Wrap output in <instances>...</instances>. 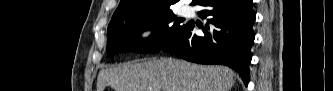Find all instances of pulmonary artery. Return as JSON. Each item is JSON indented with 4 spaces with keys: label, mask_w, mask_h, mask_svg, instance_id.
I'll return each instance as SVG.
<instances>
[{
    "label": "pulmonary artery",
    "mask_w": 333,
    "mask_h": 91,
    "mask_svg": "<svg viewBox=\"0 0 333 91\" xmlns=\"http://www.w3.org/2000/svg\"><path fill=\"white\" fill-rule=\"evenodd\" d=\"M189 12H190V10L186 6L181 8V13L182 14L186 15V14H189Z\"/></svg>",
    "instance_id": "1"
}]
</instances>
